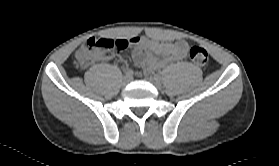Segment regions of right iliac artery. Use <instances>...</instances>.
Returning a JSON list of instances; mask_svg holds the SVG:
<instances>
[{
  "label": "right iliac artery",
  "instance_id": "1",
  "mask_svg": "<svg viewBox=\"0 0 279 166\" xmlns=\"http://www.w3.org/2000/svg\"><path fill=\"white\" fill-rule=\"evenodd\" d=\"M126 76L128 77H131L133 75V70L131 69H128L126 72H125Z\"/></svg>",
  "mask_w": 279,
  "mask_h": 166
}]
</instances>
